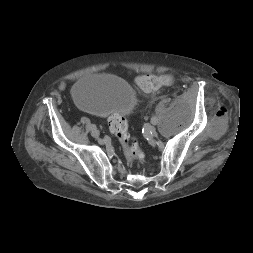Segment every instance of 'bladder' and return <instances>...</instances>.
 Masks as SVG:
<instances>
[{
	"instance_id": "31cf9c89",
	"label": "bladder",
	"mask_w": 253,
	"mask_h": 253,
	"mask_svg": "<svg viewBox=\"0 0 253 253\" xmlns=\"http://www.w3.org/2000/svg\"><path fill=\"white\" fill-rule=\"evenodd\" d=\"M72 96L80 107L100 116L129 115L137 104L131 85L108 74L81 77L72 88Z\"/></svg>"
}]
</instances>
